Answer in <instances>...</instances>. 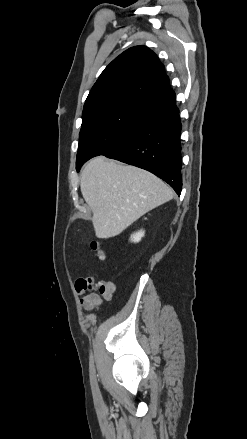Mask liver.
Segmentation results:
<instances>
[{
    "instance_id": "1",
    "label": "liver",
    "mask_w": 247,
    "mask_h": 439,
    "mask_svg": "<svg viewBox=\"0 0 247 439\" xmlns=\"http://www.w3.org/2000/svg\"><path fill=\"white\" fill-rule=\"evenodd\" d=\"M80 188L92 210L95 233L105 239L119 235L174 196L172 189L152 173L103 156L86 164Z\"/></svg>"
}]
</instances>
